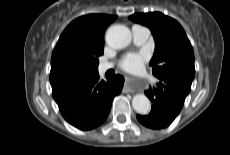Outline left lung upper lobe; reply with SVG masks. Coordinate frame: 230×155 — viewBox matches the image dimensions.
I'll return each instance as SVG.
<instances>
[{
    "label": "left lung upper lobe",
    "mask_w": 230,
    "mask_h": 155,
    "mask_svg": "<svg viewBox=\"0 0 230 155\" xmlns=\"http://www.w3.org/2000/svg\"><path fill=\"white\" fill-rule=\"evenodd\" d=\"M130 20L150 28L155 52L150 61L161 81H173L191 89L195 76L193 48L182 26L160 12L136 13Z\"/></svg>",
    "instance_id": "1"
}]
</instances>
